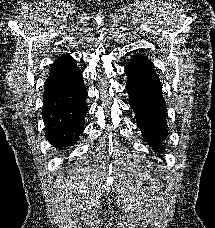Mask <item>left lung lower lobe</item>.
<instances>
[{"label": "left lung lower lobe", "mask_w": 215, "mask_h": 228, "mask_svg": "<svg viewBox=\"0 0 215 228\" xmlns=\"http://www.w3.org/2000/svg\"><path fill=\"white\" fill-rule=\"evenodd\" d=\"M125 73L129 102L143 138L155 151L162 150L165 147L161 142L168 135L167 109L154 66L147 57L136 54L126 66Z\"/></svg>", "instance_id": "left-lung-lower-lobe-1"}]
</instances>
